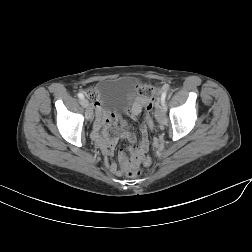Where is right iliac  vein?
<instances>
[{
	"label": "right iliac vein",
	"instance_id": "right-iliac-vein-1",
	"mask_svg": "<svg viewBox=\"0 0 252 252\" xmlns=\"http://www.w3.org/2000/svg\"><path fill=\"white\" fill-rule=\"evenodd\" d=\"M80 103H81V105H82L83 107L86 108V112H85V113H86V118H87L88 120H92V118H93V110H92L90 104L88 103V101H87L86 99H82V100L80 101Z\"/></svg>",
	"mask_w": 252,
	"mask_h": 252
}]
</instances>
